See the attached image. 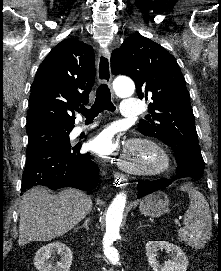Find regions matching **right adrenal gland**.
<instances>
[{
  "mask_svg": "<svg viewBox=\"0 0 221 271\" xmlns=\"http://www.w3.org/2000/svg\"><path fill=\"white\" fill-rule=\"evenodd\" d=\"M89 221H90V217H87V219H85L84 223H82L80 227H85V229H89ZM76 229H79V227H76Z\"/></svg>",
  "mask_w": 221,
  "mask_h": 271,
  "instance_id": "right-adrenal-gland-1",
  "label": "right adrenal gland"
}]
</instances>
